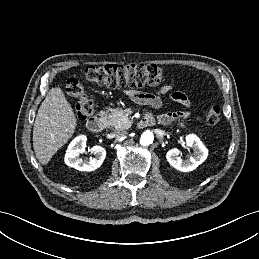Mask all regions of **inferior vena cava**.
<instances>
[{
    "label": "inferior vena cava",
    "instance_id": "inferior-vena-cava-1",
    "mask_svg": "<svg viewBox=\"0 0 259 259\" xmlns=\"http://www.w3.org/2000/svg\"><path fill=\"white\" fill-rule=\"evenodd\" d=\"M127 134H128V132L125 131L124 129H118V130H115V132H114V136H115L116 138H123V137H125Z\"/></svg>",
    "mask_w": 259,
    "mask_h": 259
}]
</instances>
